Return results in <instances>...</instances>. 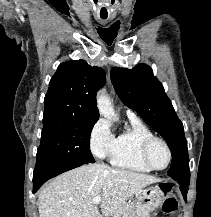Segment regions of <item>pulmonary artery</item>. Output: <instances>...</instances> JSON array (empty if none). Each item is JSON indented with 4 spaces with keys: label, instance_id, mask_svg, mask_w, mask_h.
Here are the masks:
<instances>
[{
    "label": "pulmonary artery",
    "instance_id": "pulmonary-artery-1",
    "mask_svg": "<svg viewBox=\"0 0 211 217\" xmlns=\"http://www.w3.org/2000/svg\"><path fill=\"white\" fill-rule=\"evenodd\" d=\"M127 114H128L129 116L134 115V113H133L131 110H128V111H127Z\"/></svg>",
    "mask_w": 211,
    "mask_h": 217
}]
</instances>
